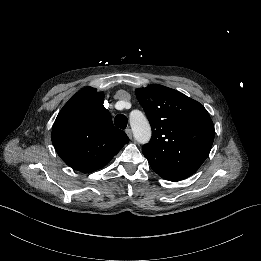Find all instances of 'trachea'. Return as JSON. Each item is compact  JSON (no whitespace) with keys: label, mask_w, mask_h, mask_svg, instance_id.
Instances as JSON below:
<instances>
[{"label":"trachea","mask_w":261,"mask_h":261,"mask_svg":"<svg viewBox=\"0 0 261 261\" xmlns=\"http://www.w3.org/2000/svg\"><path fill=\"white\" fill-rule=\"evenodd\" d=\"M114 124L120 129H125L128 124V119L125 115L119 114L115 117Z\"/></svg>","instance_id":"1"}]
</instances>
